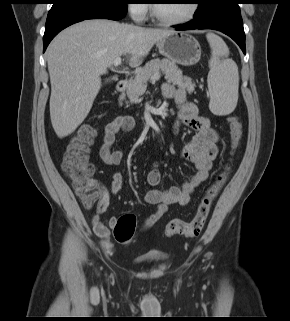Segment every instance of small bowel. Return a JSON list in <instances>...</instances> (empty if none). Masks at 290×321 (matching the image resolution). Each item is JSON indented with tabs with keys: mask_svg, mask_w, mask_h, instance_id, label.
Returning <instances> with one entry per match:
<instances>
[{
	"mask_svg": "<svg viewBox=\"0 0 290 321\" xmlns=\"http://www.w3.org/2000/svg\"><path fill=\"white\" fill-rule=\"evenodd\" d=\"M161 90L165 98L173 99L176 102L175 130L184 125L195 133L193 139L181 149L180 155L195 166L196 172L181 187H171L167 190L158 188L161 180L160 170L154 168L149 172L147 182L151 189L144 195V199L149 204L156 205L157 208L145 219L144 228L155 225L166 213L169 205H187L193 192L209 177L212 163L218 155L219 136L210 127L208 119L199 114L197 106L187 100L186 89L175 87L171 83H164ZM135 125L133 117L120 115L105 126L103 141L99 149L102 162L112 166L119 165L122 162L124 152L122 150L112 151V147L116 141V136L120 132L131 131ZM93 183L97 187L99 199L95 212L91 216V223L96 235L102 239L103 245L109 248L110 227H114L117 218L111 217L109 226H107L102 222L100 215L108 209L111 197L120 192L123 185V176L119 171L114 172L109 186L98 179H93Z\"/></svg>",
	"mask_w": 290,
	"mask_h": 321,
	"instance_id": "1",
	"label": "small bowel"
}]
</instances>
